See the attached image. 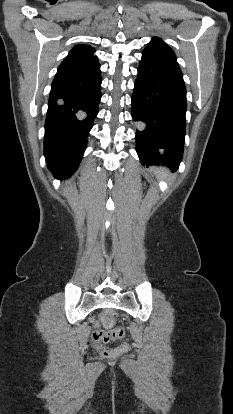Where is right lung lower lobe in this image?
<instances>
[{"mask_svg":"<svg viewBox=\"0 0 233 414\" xmlns=\"http://www.w3.org/2000/svg\"><path fill=\"white\" fill-rule=\"evenodd\" d=\"M100 65L79 74H56L45 121L44 155L58 179L77 169L101 99Z\"/></svg>","mask_w":233,"mask_h":414,"instance_id":"98d812e1","label":"right lung lower lobe"}]
</instances>
